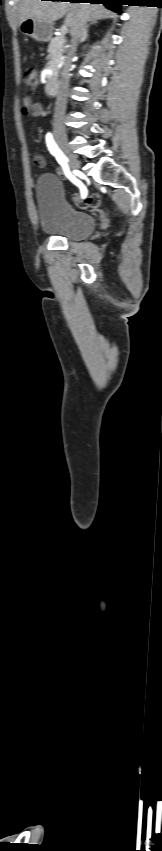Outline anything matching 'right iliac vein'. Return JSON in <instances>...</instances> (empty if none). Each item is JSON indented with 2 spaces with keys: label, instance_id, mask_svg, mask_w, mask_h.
I'll list each match as a JSON object with an SVG mask.
<instances>
[{
  "label": "right iliac vein",
  "instance_id": "right-iliac-vein-1",
  "mask_svg": "<svg viewBox=\"0 0 162 851\" xmlns=\"http://www.w3.org/2000/svg\"><path fill=\"white\" fill-rule=\"evenodd\" d=\"M58 144L67 156L69 167L72 170L78 169L79 168V162H78L76 156L71 152L67 141L64 140V139H59Z\"/></svg>",
  "mask_w": 162,
  "mask_h": 851
}]
</instances>
